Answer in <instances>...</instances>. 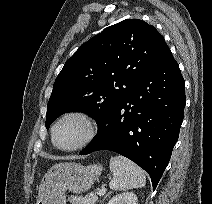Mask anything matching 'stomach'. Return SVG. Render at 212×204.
Listing matches in <instances>:
<instances>
[{
    "instance_id": "0dacf381",
    "label": "stomach",
    "mask_w": 212,
    "mask_h": 204,
    "mask_svg": "<svg viewBox=\"0 0 212 204\" xmlns=\"http://www.w3.org/2000/svg\"><path fill=\"white\" fill-rule=\"evenodd\" d=\"M102 166L63 162L52 166L41 180L36 204H66L65 192H86L101 175Z\"/></svg>"
}]
</instances>
